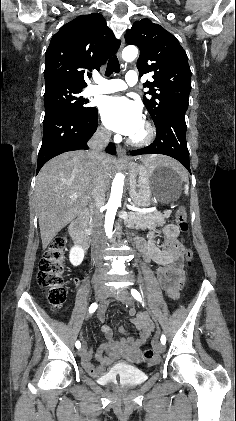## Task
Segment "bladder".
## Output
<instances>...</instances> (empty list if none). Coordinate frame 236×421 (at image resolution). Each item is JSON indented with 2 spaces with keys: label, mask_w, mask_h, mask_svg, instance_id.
<instances>
[{
  "label": "bladder",
  "mask_w": 236,
  "mask_h": 421,
  "mask_svg": "<svg viewBox=\"0 0 236 421\" xmlns=\"http://www.w3.org/2000/svg\"><path fill=\"white\" fill-rule=\"evenodd\" d=\"M137 383L138 382L136 380H133V381H128L125 385L128 386V387H131V386L136 385Z\"/></svg>",
  "instance_id": "bladder-1"
}]
</instances>
